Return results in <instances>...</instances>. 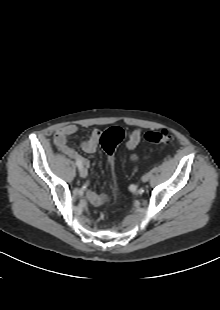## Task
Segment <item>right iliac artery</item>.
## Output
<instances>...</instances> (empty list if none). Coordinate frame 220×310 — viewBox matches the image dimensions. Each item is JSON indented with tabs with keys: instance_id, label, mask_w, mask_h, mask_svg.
Masks as SVG:
<instances>
[{
	"instance_id": "obj_1",
	"label": "right iliac artery",
	"mask_w": 220,
	"mask_h": 310,
	"mask_svg": "<svg viewBox=\"0 0 220 310\" xmlns=\"http://www.w3.org/2000/svg\"><path fill=\"white\" fill-rule=\"evenodd\" d=\"M76 165L78 166L79 169H81L83 167V164L80 160H76Z\"/></svg>"
}]
</instances>
